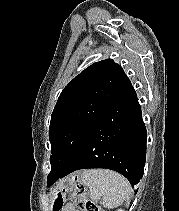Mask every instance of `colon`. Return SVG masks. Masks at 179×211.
Instances as JSON below:
<instances>
[{"mask_svg": "<svg viewBox=\"0 0 179 211\" xmlns=\"http://www.w3.org/2000/svg\"><path fill=\"white\" fill-rule=\"evenodd\" d=\"M71 200L74 203L77 211H104L99 208L93 201L84 197L85 187L79 178L71 179L69 189L67 191ZM62 203V195L59 193V198L55 202V207L59 208Z\"/></svg>", "mask_w": 179, "mask_h": 211, "instance_id": "5ec220e1", "label": "colon"}]
</instances>
